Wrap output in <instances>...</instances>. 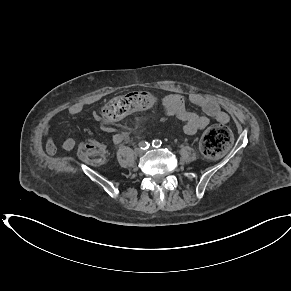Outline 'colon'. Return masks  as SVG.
<instances>
[{
	"instance_id": "colon-1",
	"label": "colon",
	"mask_w": 291,
	"mask_h": 291,
	"mask_svg": "<svg viewBox=\"0 0 291 291\" xmlns=\"http://www.w3.org/2000/svg\"><path fill=\"white\" fill-rule=\"evenodd\" d=\"M157 103L156 97L145 91H134L109 101L102 110L105 123L116 122L136 112L148 110ZM232 135L227 127L216 124L209 127L202 136L201 150L210 158L222 155L232 144ZM83 160L92 165H101L105 161V151L99 144L86 142L79 148Z\"/></svg>"
}]
</instances>
